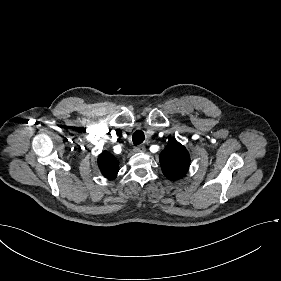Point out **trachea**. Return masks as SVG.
I'll return each instance as SVG.
<instances>
[{
	"label": "trachea",
	"mask_w": 281,
	"mask_h": 281,
	"mask_svg": "<svg viewBox=\"0 0 281 281\" xmlns=\"http://www.w3.org/2000/svg\"><path fill=\"white\" fill-rule=\"evenodd\" d=\"M144 139H145V135L142 130H136L133 133L132 140H133V144L135 146L141 144L144 141Z\"/></svg>",
	"instance_id": "1"
}]
</instances>
